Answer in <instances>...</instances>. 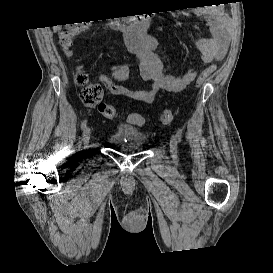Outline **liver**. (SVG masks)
Segmentation results:
<instances>
[{
  "label": "liver",
  "mask_w": 273,
  "mask_h": 273,
  "mask_svg": "<svg viewBox=\"0 0 273 273\" xmlns=\"http://www.w3.org/2000/svg\"><path fill=\"white\" fill-rule=\"evenodd\" d=\"M60 27H61L60 25L55 26V27H54V31L60 30V29H61Z\"/></svg>",
  "instance_id": "1"
}]
</instances>
